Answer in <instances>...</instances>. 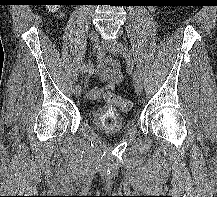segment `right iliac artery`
I'll return each instance as SVG.
<instances>
[{
    "label": "right iliac artery",
    "instance_id": "82829eb1",
    "mask_svg": "<svg viewBox=\"0 0 217 197\" xmlns=\"http://www.w3.org/2000/svg\"><path fill=\"white\" fill-rule=\"evenodd\" d=\"M102 51V47H97V50H96V56L98 57L100 55ZM89 64H84L81 68H80V74L83 76L89 69Z\"/></svg>",
    "mask_w": 217,
    "mask_h": 197
}]
</instances>
